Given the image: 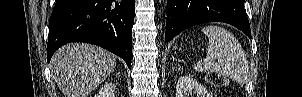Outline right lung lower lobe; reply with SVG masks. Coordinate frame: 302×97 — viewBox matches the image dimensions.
<instances>
[{"mask_svg":"<svg viewBox=\"0 0 302 97\" xmlns=\"http://www.w3.org/2000/svg\"><path fill=\"white\" fill-rule=\"evenodd\" d=\"M135 0H56L49 21L47 60L69 42L101 46L130 68Z\"/></svg>","mask_w":302,"mask_h":97,"instance_id":"obj_1","label":"right lung lower lobe"}]
</instances>
